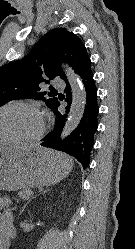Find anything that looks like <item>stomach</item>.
<instances>
[{"instance_id":"0dacf381","label":"stomach","mask_w":135,"mask_h":249,"mask_svg":"<svg viewBox=\"0 0 135 249\" xmlns=\"http://www.w3.org/2000/svg\"><path fill=\"white\" fill-rule=\"evenodd\" d=\"M73 162L37 146L0 147V190L52 185L65 178Z\"/></svg>"}]
</instances>
